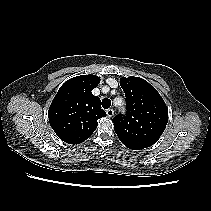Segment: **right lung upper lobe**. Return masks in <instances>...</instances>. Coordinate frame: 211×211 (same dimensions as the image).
I'll return each instance as SVG.
<instances>
[{
	"mask_svg": "<svg viewBox=\"0 0 211 211\" xmlns=\"http://www.w3.org/2000/svg\"><path fill=\"white\" fill-rule=\"evenodd\" d=\"M100 77L81 75L66 81L54 97L48 117L57 136L68 144H79L89 138L106 116L100 99L92 94Z\"/></svg>",
	"mask_w": 211,
	"mask_h": 211,
	"instance_id": "obj_1",
	"label": "right lung upper lobe"
}]
</instances>
